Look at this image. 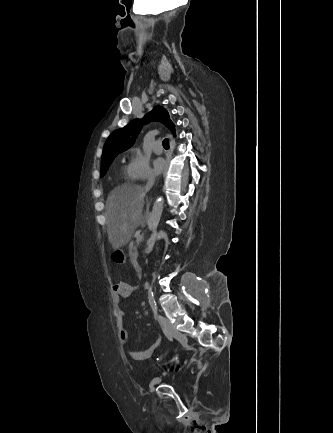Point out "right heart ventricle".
<instances>
[{"label": "right heart ventricle", "mask_w": 333, "mask_h": 433, "mask_svg": "<svg viewBox=\"0 0 333 433\" xmlns=\"http://www.w3.org/2000/svg\"><path fill=\"white\" fill-rule=\"evenodd\" d=\"M122 173H123V176L126 180H129L131 178L127 167H124L122 169Z\"/></svg>", "instance_id": "right-heart-ventricle-1"}]
</instances>
